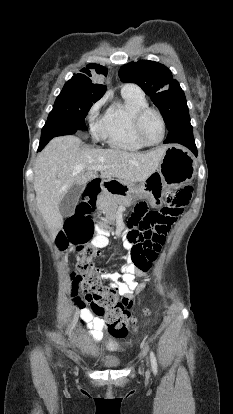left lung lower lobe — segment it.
Here are the masks:
<instances>
[{
	"instance_id": "obj_1",
	"label": "left lung lower lobe",
	"mask_w": 233,
	"mask_h": 414,
	"mask_svg": "<svg viewBox=\"0 0 233 414\" xmlns=\"http://www.w3.org/2000/svg\"><path fill=\"white\" fill-rule=\"evenodd\" d=\"M164 143H178L184 145L197 155L189 112L183 113L177 118L175 123L169 129V133Z\"/></svg>"
}]
</instances>
